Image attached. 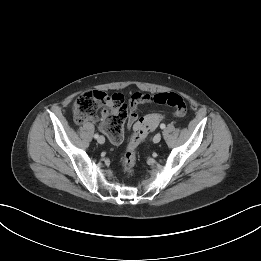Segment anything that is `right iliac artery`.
Listing matches in <instances>:
<instances>
[{
  "instance_id": "1",
  "label": "right iliac artery",
  "mask_w": 261,
  "mask_h": 261,
  "mask_svg": "<svg viewBox=\"0 0 261 261\" xmlns=\"http://www.w3.org/2000/svg\"><path fill=\"white\" fill-rule=\"evenodd\" d=\"M98 137H99V135H98V134H95V135H94V138H95V139H97Z\"/></svg>"
}]
</instances>
